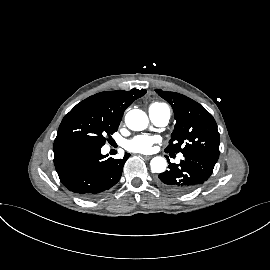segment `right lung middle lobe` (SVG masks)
I'll return each instance as SVG.
<instances>
[{
    "instance_id": "dd1d6c3e",
    "label": "right lung middle lobe",
    "mask_w": 270,
    "mask_h": 270,
    "mask_svg": "<svg viewBox=\"0 0 270 270\" xmlns=\"http://www.w3.org/2000/svg\"><path fill=\"white\" fill-rule=\"evenodd\" d=\"M119 124L97 114L94 107L84 100L65 115L54 143L81 142L102 147L106 136L116 132Z\"/></svg>"
}]
</instances>
